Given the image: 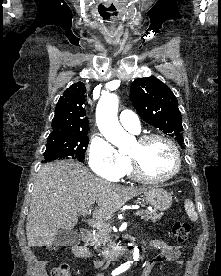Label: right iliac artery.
<instances>
[{"label": "right iliac artery", "instance_id": "1", "mask_svg": "<svg viewBox=\"0 0 221 276\" xmlns=\"http://www.w3.org/2000/svg\"><path fill=\"white\" fill-rule=\"evenodd\" d=\"M123 271H125V268L124 267H119L116 270H114L112 274L113 275H118V274L122 273Z\"/></svg>", "mask_w": 221, "mask_h": 276}]
</instances>
